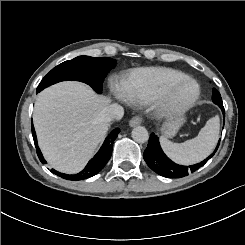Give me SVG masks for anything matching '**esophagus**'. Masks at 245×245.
Returning <instances> with one entry per match:
<instances>
[{"mask_svg":"<svg viewBox=\"0 0 245 245\" xmlns=\"http://www.w3.org/2000/svg\"><path fill=\"white\" fill-rule=\"evenodd\" d=\"M143 118L141 116H134L131 120H130V126L134 127V126H138L141 124Z\"/></svg>","mask_w":245,"mask_h":245,"instance_id":"1","label":"esophagus"}]
</instances>
